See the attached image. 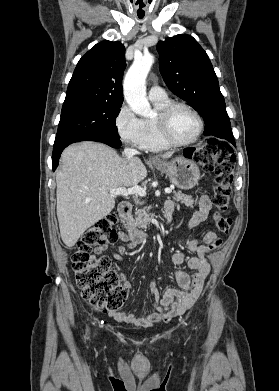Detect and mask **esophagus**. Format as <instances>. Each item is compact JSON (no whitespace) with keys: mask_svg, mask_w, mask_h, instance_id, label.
I'll use <instances>...</instances> for the list:
<instances>
[{"mask_svg":"<svg viewBox=\"0 0 279 391\" xmlns=\"http://www.w3.org/2000/svg\"><path fill=\"white\" fill-rule=\"evenodd\" d=\"M150 160L155 161L156 159L155 158H150Z\"/></svg>","mask_w":279,"mask_h":391,"instance_id":"obj_1","label":"esophagus"}]
</instances>
